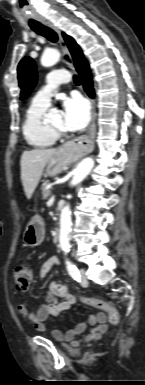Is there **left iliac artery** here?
Here are the masks:
<instances>
[{"label": "left iliac artery", "mask_w": 145, "mask_h": 385, "mask_svg": "<svg viewBox=\"0 0 145 385\" xmlns=\"http://www.w3.org/2000/svg\"><path fill=\"white\" fill-rule=\"evenodd\" d=\"M66 266H67V271H68L69 275L74 280L79 281L80 280V274H79V270L77 269V267L68 259L66 260Z\"/></svg>", "instance_id": "obj_1"}]
</instances>
